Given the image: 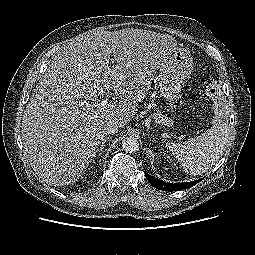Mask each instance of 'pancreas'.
<instances>
[{
	"mask_svg": "<svg viewBox=\"0 0 255 255\" xmlns=\"http://www.w3.org/2000/svg\"><path fill=\"white\" fill-rule=\"evenodd\" d=\"M154 119L163 125L170 126L172 124V120L166 117L161 110H157L154 114Z\"/></svg>",
	"mask_w": 255,
	"mask_h": 255,
	"instance_id": "obj_1",
	"label": "pancreas"
}]
</instances>
